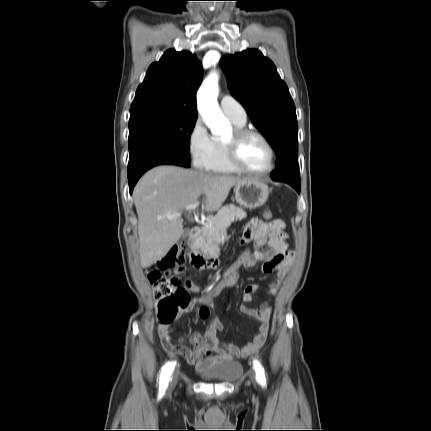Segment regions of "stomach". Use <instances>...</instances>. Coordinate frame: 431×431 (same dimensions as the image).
<instances>
[{
  "label": "stomach",
  "instance_id": "obj_1",
  "mask_svg": "<svg viewBox=\"0 0 431 431\" xmlns=\"http://www.w3.org/2000/svg\"><path fill=\"white\" fill-rule=\"evenodd\" d=\"M268 196V186L258 179L245 178L235 185L236 201L249 209L262 206L267 201Z\"/></svg>",
  "mask_w": 431,
  "mask_h": 431
}]
</instances>
